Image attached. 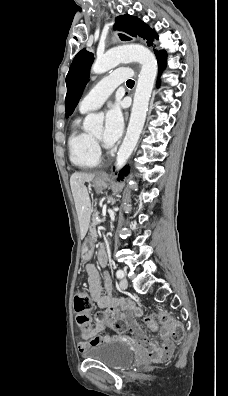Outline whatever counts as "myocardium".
Listing matches in <instances>:
<instances>
[{"label":"myocardium","instance_id":"obj_1","mask_svg":"<svg viewBox=\"0 0 228 396\" xmlns=\"http://www.w3.org/2000/svg\"><path fill=\"white\" fill-rule=\"evenodd\" d=\"M92 137H93L95 143H96L97 145H99V144H100V139L97 138V137H95V136H92Z\"/></svg>","mask_w":228,"mask_h":396}]
</instances>
